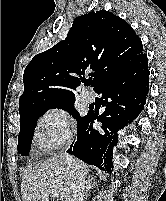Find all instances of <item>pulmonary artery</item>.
Returning <instances> with one entry per match:
<instances>
[{
  "instance_id": "1",
  "label": "pulmonary artery",
  "mask_w": 166,
  "mask_h": 201,
  "mask_svg": "<svg viewBox=\"0 0 166 201\" xmlns=\"http://www.w3.org/2000/svg\"><path fill=\"white\" fill-rule=\"evenodd\" d=\"M80 96H81V99H82L86 104H89V103L93 102V100H94L93 94H92L90 91L86 90V89H84V90L81 92Z\"/></svg>"
}]
</instances>
